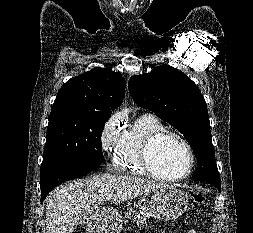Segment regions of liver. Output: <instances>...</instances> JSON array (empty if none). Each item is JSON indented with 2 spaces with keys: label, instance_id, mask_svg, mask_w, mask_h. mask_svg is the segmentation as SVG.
Masks as SVG:
<instances>
[{
  "label": "liver",
  "instance_id": "obj_1",
  "mask_svg": "<svg viewBox=\"0 0 253 233\" xmlns=\"http://www.w3.org/2000/svg\"><path fill=\"white\" fill-rule=\"evenodd\" d=\"M164 186L143 178L110 173L70 182L47 201L46 231L72 233L88 214L99 211L107 195L113 196L114 203H121Z\"/></svg>",
  "mask_w": 253,
  "mask_h": 233
}]
</instances>
